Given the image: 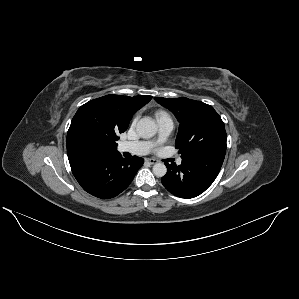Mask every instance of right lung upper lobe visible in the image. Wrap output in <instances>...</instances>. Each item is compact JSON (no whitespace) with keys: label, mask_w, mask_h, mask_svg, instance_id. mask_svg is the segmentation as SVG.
<instances>
[{"label":"right lung upper lobe","mask_w":299,"mask_h":299,"mask_svg":"<svg viewBox=\"0 0 299 299\" xmlns=\"http://www.w3.org/2000/svg\"><path fill=\"white\" fill-rule=\"evenodd\" d=\"M152 96L106 95L82 105L72 119L67 133L68 158L93 152L85 132L97 125L114 130L117 134L127 130L133 114L147 104Z\"/></svg>","instance_id":"cb5924a9"}]
</instances>
